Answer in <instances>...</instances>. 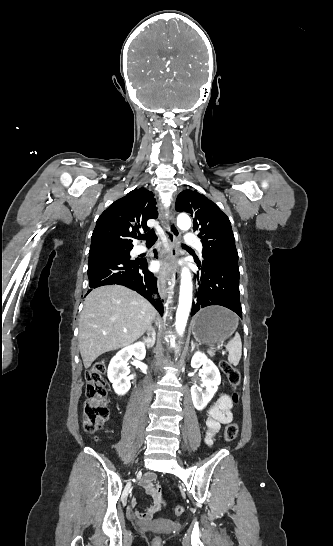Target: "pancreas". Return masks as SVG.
<instances>
[{
  "instance_id": "1",
  "label": "pancreas",
  "mask_w": 333,
  "mask_h": 546,
  "mask_svg": "<svg viewBox=\"0 0 333 546\" xmlns=\"http://www.w3.org/2000/svg\"><path fill=\"white\" fill-rule=\"evenodd\" d=\"M208 353H209L210 356H214V355H215L214 351H211V350H210V352H208Z\"/></svg>"
}]
</instances>
